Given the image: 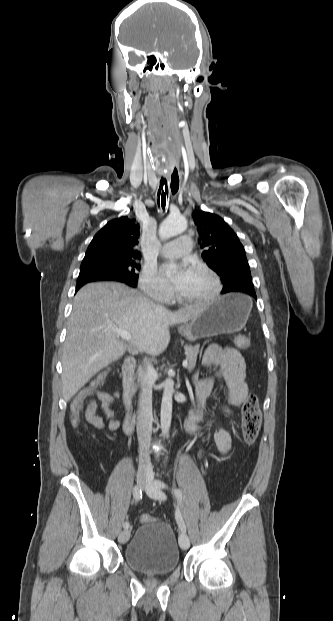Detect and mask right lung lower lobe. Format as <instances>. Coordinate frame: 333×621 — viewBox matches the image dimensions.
Returning <instances> with one entry per match:
<instances>
[{"instance_id": "obj_1", "label": "right lung lower lobe", "mask_w": 333, "mask_h": 621, "mask_svg": "<svg viewBox=\"0 0 333 621\" xmlns=\"http://www.w3.org/2000/svg\"><path fill=\"white\" fill-rule=\"evenodd\" d=\"M92 282L90 280H82V281H77V285H76V292L86 283ZM131 286V285H130ZM132 287H136V286H132Z\"/></svg>"}]
</instances>
